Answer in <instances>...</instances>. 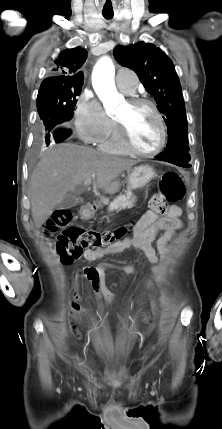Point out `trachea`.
Returning a JSON list of instances; mask_svg holds the SVG:
<instances>
[{
    "instance_id": "1",
    "label": "trachea",
    "mask_w": 222,
    "mask_h": 429,
    "mask_svg": "<svg viewBox=\"0 0 222 429\" xmlns=\"http://www.w3.org/2000/svg\"><path fill=\"white\" fill-rule=\"evenodd\" d=\"M103 17L105 19H112L113 18V12H111V13H103Z\"/></svg>"
}]
</instances>
